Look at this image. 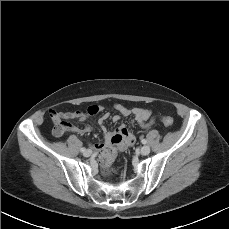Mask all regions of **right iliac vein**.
Here are the masks:
<instances>
[{
    "label": "right iliac vein",
    "instance_id": "obj_1",
    "mask_svg": "<svg viewBox=\"0 0 229 229\" xmlns=\"http://www.w3.org/2000/svg\"><path fill=\"white\" fill-rule=\"evenodd\" d=\"M91 154H92V151H91V150H86V151L83 153V155H84L85 157H89V156H91Z\"/></svg>",
    "mask_w": 229,
    "mask_h": 229
}]
</instances>
